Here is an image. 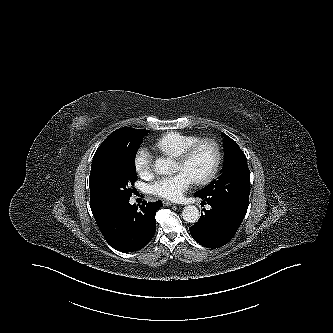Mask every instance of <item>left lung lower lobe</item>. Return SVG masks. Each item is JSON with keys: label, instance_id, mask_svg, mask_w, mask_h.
Instances as JSON below:
<instances>
[{"label": "left lung lower lobe", "instance_id": "1", "mask_svg": "<svg viewBox=\"0 0 333 333\" xmlns=\"http://www.w3.org/2000/svg\"><path fill=\"white\" fill-rule=\"evenodd\" d=\"M203 199V204L211 206L204 209L198 222L190 227L192 237L208 248H219L227 244L240 227L248 205L225 199L217 194L195 193Z\"/></svg>", "mask_w": 333, "mask_h": 333}]
</instances>
